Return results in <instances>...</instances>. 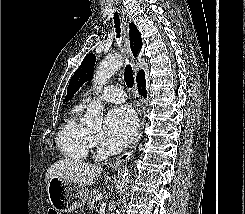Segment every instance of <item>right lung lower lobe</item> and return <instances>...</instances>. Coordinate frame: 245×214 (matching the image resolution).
I'll use <instances>...</instances> for the list:
<instances>
[{
  "instance_id": "1",
  "label": "right lung lower lobe",
  "mask_w": 245,
  "mask_h": 214,
  "mask_svg": "<svg viewBox=\"0 0 245 214\" xmlns=\"http://www.w3.org/2000/svg\"><path fill=\"white\" fill-rule=\"evenodd\" d=\"M137 82H138V91L140 92V94L146 98V90H145V86H146V81H145V74H142L141 76L136 78Z\"/></svg>"
}]
</instances>
